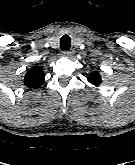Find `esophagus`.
Returning a JSON list of instances; mask_svg holds the SVG:
<instances>
[{"label":"esophagus","mask_w":135,"mask_h":165,"mask_svg":"<svg viewBox=\"0 0 135 165\" xmlns=\"http://www.w3.org/2000/svg\"><path fill=\"white\" fill-rule=\"evenodd\" d=\"M62 55H63L64 57L70 58V57L73 55V51L64 50V51L62 52Z\"/></svg>","instance_id":"esophagus-1"}]
</instances>
